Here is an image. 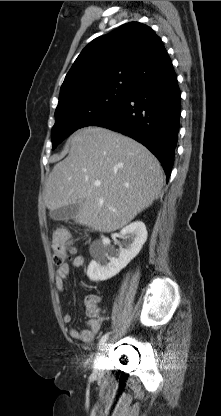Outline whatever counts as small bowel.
I'll list each match as a JSON object with an SVG mask.
<instances>
[{
	"label": "small bowel",
	"mask_w": 221,
	"mask_h": 416,
	"mask_svg": "<svg viewBox=\"0 0 221 416\" xmlns=\"http://www.w3.org/2000/svg\"><path fill=\"white\" fill-rule=\"evenodd\" d=\"M84 265V257L82 255H76L70 263H60L55 271V285L57 290L62 293L65 289V279L69 275L71 268H81ZM95 297L86 299V315L89 318L87 327L84 329L70 328L69 335L72 339L80 340L85 344H90L94 340L96 334L100 330L101 323L105 320V316L102 314L100 308L97 306ZM62 320L65 324H69L72 321L70 313L66 312L62 316Z\"/></svg>",
	"instance_id": "1"
}]
</instances>
